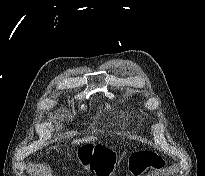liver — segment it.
I'll return each instance as SVG.
<instances>
[{"label": "liver", "mask_w": 205, "mask_h": 176, "mask_svg": "<svg viewBox=\"0 0 205 176\" xmlns=\"http://www.w3.org/2000/svg\"><path fill=\"white\" fill-rule=\"evenodd\" d=\"M96 138L95 137H85L79 140H74L73 143L75 144H79V143H84V142H91V141H95Z\"/></svg>", "instance_id": "1"}]
</instances>
